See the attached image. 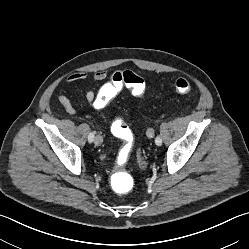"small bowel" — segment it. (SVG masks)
<instances>
[{
	"label": "small bowel",
	"instance_id": "small-bowel-1",
	"mask_svg": "<svg viewBox=\"0 0 249 249\" xmlns=\"http://www.w3.org/2000/svg\"><path fill=\"white\" fill-rule=\"evenodd\" d=\"M108 75L109 71L106 69L99 70L93 75L92 82L85 93L86 103L91 110L97 111L102 109L106 105V99L110 95L114 97L117 94V92L114 91L110 80L106 81ZM87 77V72H76L70 75L67 78L66 82L68 84H73L79 81H83L87 79ZM97 85L100 86L96 88ZM57 98L67 114L76 115L77 109L66 95L59 94ZM116 122L117 121L113 122L112 127Z\"/></svg>",
	"mask_w": 249,
	"mask_h": 249
}]
</instances>
